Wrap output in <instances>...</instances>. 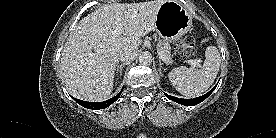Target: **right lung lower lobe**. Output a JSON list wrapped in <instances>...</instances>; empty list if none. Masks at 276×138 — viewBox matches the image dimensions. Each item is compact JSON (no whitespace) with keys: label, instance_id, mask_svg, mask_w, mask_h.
I'll list each match as a JSON object with an SVG mask.
<instances>
[{"label":"right lung lower lobe","instance_id":"98d812e1","mask_svg":"<svg viewBox=\"0 0 276 138\" xmlns=\"http://www.w3.org/2000/svg\"><path fill=\"white\" fill-rule=\"evenodd\" d=\"M121 93H122V90L116 96H114L113 98H111L107 101H104V102H86V101H82V100L75 99V98H73V99H75V101L78 104H80L81 106H83L85 108L98 110V109H105L106 107H108L109 105L114 103L119 98Z\"/></svg>","mask_w":276,"mask_h":138}]
</instances>
